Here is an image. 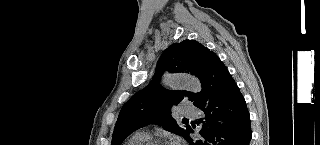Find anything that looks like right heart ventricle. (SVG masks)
Listing matches in <instances>:
<instances>
[{
  "mask_svg": "<svg viewBox=\"0 0 320 145\" xmlns=\"http://www.w3.org/2000/svg\"><path fill=\"white\" fill-rule=\"evenodd\" d=\"M148 140V136L144 133H134L132 136H130L124 145H143Z\"/></svg>",
  "mask_w": 320,
  "mask_h": 145,
  "instance_id": "1",
  "label": "right heart ventricle"
}]
</instances>
